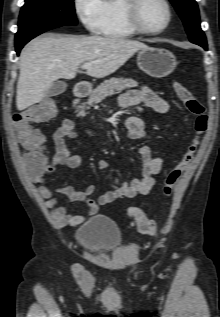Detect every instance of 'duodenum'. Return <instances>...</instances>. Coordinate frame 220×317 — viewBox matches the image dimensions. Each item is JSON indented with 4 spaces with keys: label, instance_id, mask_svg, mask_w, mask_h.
<instances>
[{
    "label": "duodenum",
    "instance_id": "obj_1",
    "mask_svg": "<svg viewBox=\"0 0 220 317\" xmlns=\"http://www.w3.org/2000/svg\"><path fill=\"white\" fill-rule=\"evenodd\" d=\"M90 91V86L85 83H78L74 87V95L76 98H82L88 95Z\"/></svg>",
    "mask_w": 220,
    "mask_h": 317
}]
</instances>
